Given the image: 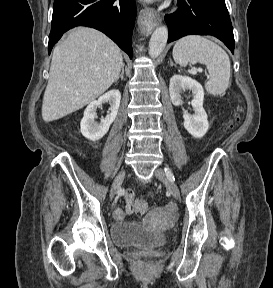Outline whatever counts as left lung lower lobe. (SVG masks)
I'll list each match as a JSON object with an SVG mask.
<instances>
[{"mask_svg": "<svg viewBox=\"0 0 273 288\" xmlns=\"http://www.w3.org/2000/svg\"><path fill=\"white\" fill-rule=\"evenodd\" d=\"M178 10L165 15L168 43L190 34L213 35L234 53L233 27L225 0H178Z\"/></svg>", "mask_w": 273, "mask_h": 288, "instance_id": "obj_1", "label": "left lung lower lobe"}]
</instances>
